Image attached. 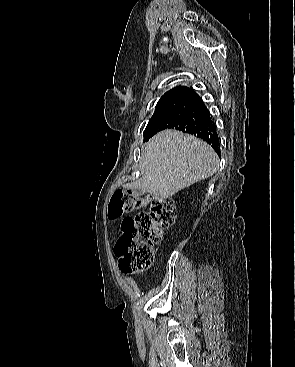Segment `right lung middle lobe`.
<instances>
[{"mask_svg":"<svg viewBox=\"0 0 295 367\" xmlns=\"http://www.w3.org/2000/svg\"><path fill=\"white\" fill-rule=\"evenodd\" d=\"M193 93L191 89H172L166 92L157 103L156 110L144 131V137L151 135L159 124L171 115Z\"/></svg>","mask_w":295,"mask_h":367,"instance_id":"obj_1","label":"right lung middle lobe"}]
</instances>
